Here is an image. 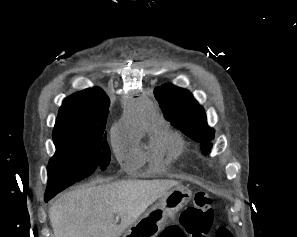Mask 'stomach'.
Wrapping results in <instances>:
<instances>
[{
    "label": "stomach",
    "mask_w": 297,
    "mask_h": 237,
    "mask_svg": "<svg viewBox=\"0 0 297 237\" xmlns=\"http://www.w3.org/2000/svg\"><path fill=\"white\" fill-rule=\"evenodd\" d=\"M191 195V191L181 185L170 189L158 203L128 227L123 237H156L167 217L183 208Z\"/></svg>",
    "instance_id": "0dacf381"
}]
</instances>
